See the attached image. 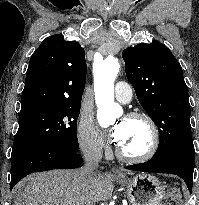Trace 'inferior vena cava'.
Listing matches in <instances>:
<instances>
[{"label": "inferior vena cava", "mask_w": 199, "mask_h": 205, "mask_svg": "<svg viewBox=\"0 0 199 205\" xmlns=\"http://www.w3.org/2000/svg\"><path fill=\"white\" fill-rule=\"evenodd\" d=\"M84 166L80 169V177L90 185L96 183L98 174L95 169L102 159V146L94 143L83 149Z\"/></svg>", "instance_id": "602c4592"}]
</instances>
